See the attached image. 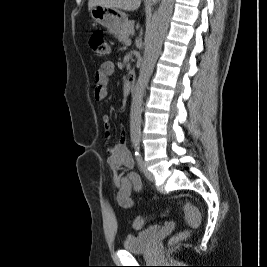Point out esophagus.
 <instances>
[{
	"instance_id": "34e87169",
	"label": "esophagus",
	"mask_w": 267,
	"mask_h": 267,
	"mask_svg": "<svg viewBox=\"0 0 267 267\" xmlns=\"http://www.w3.org/2000/svg\"><path fill=\"white\" fill-rule=\"evenodd\" d=\"M148 1L157 2V1H159V0H148Z\"/></svg>"
}]
</instances>
